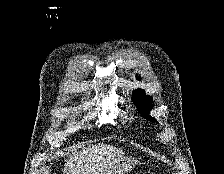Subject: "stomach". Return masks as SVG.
Here are the masks:
<instances>
[{"label": "stomach", "mask_w": 224, "mask_h": 174, "mask_svg": "<svg viewBox=\"0 0 224 174\" xmlns=\"http://www.w3.org/2000/svg\"><path fill=\"white\" fill-rule=\"evenodd\" d=\"M135 163L136 161L131 158L122 159L97 174H125L134 167Z\"/></svg>", "instance_id": "stomach-1"}]
</instances>
